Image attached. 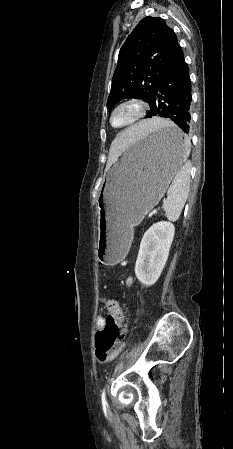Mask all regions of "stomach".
I'll use <instances>...</instances> for the list:
<instances>
[{
	"mask_svg": "<svg viewBox=\"0 0 233 449\" xmlns=\"http://www.w3.org/2000/svg\"><path fill=\"white\" fill-rule=\"evenodd\" d=\"M187 138L173 124L156 128L108 171L99 198L97 256L106 265L123 258L134 227L160 201L183 164Z\"/></svg>",
	"mask_w": 233,
	"mask_h": 449,
	"instance_id": "0dacf381",
	"label": "stomach"
}]
</instances>
